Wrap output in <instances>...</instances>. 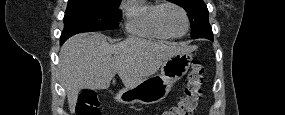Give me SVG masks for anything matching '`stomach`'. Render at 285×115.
<instances>
[{
	"instance_id": "obj_1",
	"label": "stomach",
	"mask_w": 285,
	"mask_h": 115,
	"mask_svg": "<svg viewBox=\"0 0 285 115\" xmlns=\"http://www.w3.org/2000/svg\"><path fill=\"white\" fill-rule=\"evenodd\" d=\"M189 53H180L163 62L161 74L146 78L131 88H123L115 95L122 104H155L161 102L171 91L174 83L188 71L191 63Z\"/></svg>"
}]
</instances>
